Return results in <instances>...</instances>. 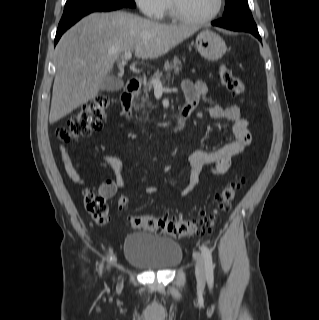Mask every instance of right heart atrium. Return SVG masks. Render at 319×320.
I'll list each match as a JSON object with an SVG mask.
<instances>
[{"instance_id":"obj_1","label":"right heart atrium","mask_w":319,"mask_h":320,"mask_svg":"<svg viewBox=\"0 0 319 320\" xmlns=\"http://www.w3.org/2000/svg\"><path fill=\"white\" fill-rule=\"evenodd\" d=\"M141 12L150 18H161L168 7L167 0H134Z\"/></svg>"}]
</instances>
